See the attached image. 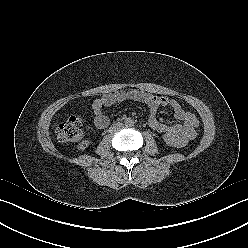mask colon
I'll return each mask as SVG.
<instances>
[{"label": "colon", "instance_id": "obj_1", "mask_svg": "<svg viewBox=\"0 0 248 248\" xmlns=\"http://www.w3.org/2000/svg\"><path fill=\"white\" fill-rule=\"evenodd\" d=\"M57 138L63 142H75L83 138V122L80 116H71L56 129ZM164 142L171 147L182 146L180 138L172 133L163 135Z\"/></svg>", "mask_w": 248, "mask_h": 248}]
</instances>
